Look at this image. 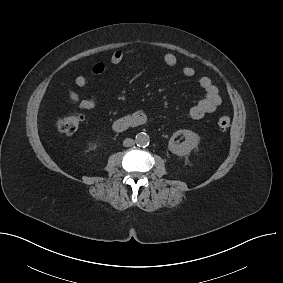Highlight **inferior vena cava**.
<instances>
[{
	"label": "inferior vena cava",
	"instance_id": "602c4592",
	"mask_svg": "<svg viewBox=\"0 0 283 283\" xmlns=\"http://www.w3.org/2000/svg\"><path fill=\"white\" fill-rule=\"evenodd\" d=\"M135 144V141L131 138H126L124 141H123V146L125 147H131Z\"/></svg>",
	"mask_w": 283,
	"mask_h": 283
}]
</instances>
